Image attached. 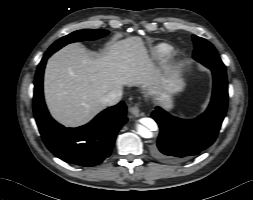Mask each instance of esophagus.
<instances>
[{"label":"esophagus","mask_w":253,"mask_h":200,"mask_svg":"<svg viewBox=\"0 0 253 200\" xmlns=\"http://www.w3.org/2000/svg\"><path fill=\"white\" fill-rule=\"evenodd\" d=\"M129 112L133 115V116H135V117H140V116H142L143 114L141 113V111H140V109H139V106L136 104V105H134V106H131L130 108H129Z\"/></svg>","instance_id":"1"}]
</instances>
